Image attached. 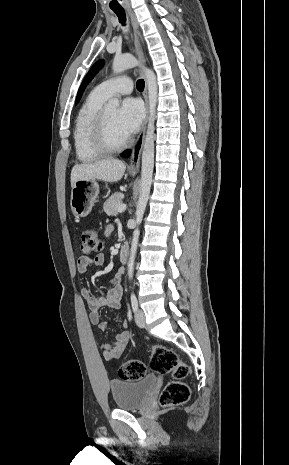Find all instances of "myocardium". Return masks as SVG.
Here are the masks:
<instances>
[{
  "mask_svg": "<svg viewBox=\"0 0 289 465\" xmlns=\"http://www.w3.org/2000/svg\"><path fill=\"white\" fill-rule=\"evenodd\" d=\"M93 143L97 149L105 153H113L124 149L129 139L121 142H113L109 135L107 124V107L103 106L95 117L92 129Z\"/></svg>",
  "mask_w": 289,
  "mask_h": 465,
  "instance_id": "myocardium-1",
  "label": "myocardium"
}]
</instances>
